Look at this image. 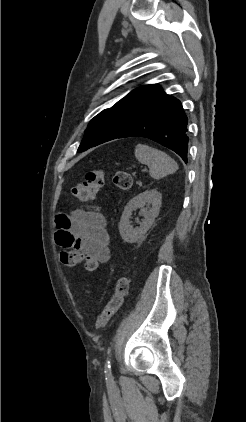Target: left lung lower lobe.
<instances>
[{"label":"left lung lower lobe","mask_w":246,"mask_h":422,"mask_svg":"<svg viewBox=\"0 0 246 422\" xmlns=\"http://www.w3.org/2000/svg\"><path fill=\"white\" fill-rule=\"evenodd\" d=\"M188 119L181 102L165 95L118 138L145 137L176 152L187 163Z\"/></svg>","instance_id":"obj_1"}]
</instances>
